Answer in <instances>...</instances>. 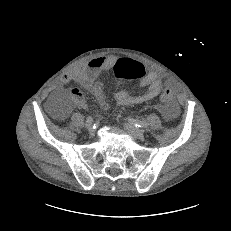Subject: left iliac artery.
<instances>
[{
	"label": "left iliac artery",
	"mask_w": 231,
	"mask_h": 231,
	"mask_svg": "<svg viewBox=\"0 0 231 231\" xmlns=\"http://www.w3.org/2000/svg\"><path fill=\"white\" fill-rule=\"evenodd\" d=\"M128 121L134 125L135 127H141V128H147L148 127V123L145 121H140V120H136L133 118H129Z\"/></svg>",
	"instance_id": "44dca946"
}]
</instances>
